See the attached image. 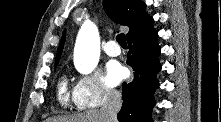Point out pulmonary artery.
Wrapping results in <instances>:
<instances>
[{"mask_svg": "<svg viewBox=\"0 0 221 122\" xmlns=\"http://www.w3.org/2000/svg\"><path fill=\"white\" fill-rule=\"evenodd\" d=\"M104 51L107 55L115 57L121 53V49L114 40L108 41L104 46Z\"/></svg>", "mask_w": 221, "mask_h": 122, "instance_id": "1", "label": "pulmonary artery"}]
</instances>
